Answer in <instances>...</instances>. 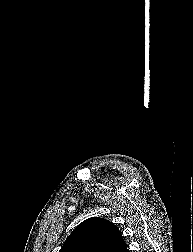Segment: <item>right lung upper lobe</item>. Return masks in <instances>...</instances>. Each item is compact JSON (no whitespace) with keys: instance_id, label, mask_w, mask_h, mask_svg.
<instances>
[{"instance_id":"right-lung-upper-lobe-1","label":"right lung upper lobe","mask_w":193,"mask_h":252,"mask_svg":"<svg viewBox=\"0 0 193 252\" xmlns=\"http://www.w3.org/2000/svg\"><path fill=\"white\" fill-rule=\"evenodd\" d=\"M59 252H129L119 229L110 221L92 217L67 237Z\"/></svg>"}]
</instances>
